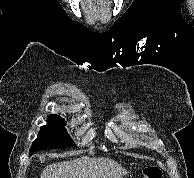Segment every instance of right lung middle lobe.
Segmentation results:
<instances>
[{"mask_svg": "<svg viewBox=\"0 0 194 178\" xmlns=\"http://www.w3.org/2000/svg\"><path fill=\"white\" fill-rule=\"evenodd\" d=\"M47 125L42 126L38 137L30 148L29 154L32 155L38 150L45 149H65L76 146L70 139L65 129V120L58 115H49Z\"/></svg>", "mask_w": 194, "mask_h": 178, "instance_id": "1", "label": "right lung middle lobe"}]
</instances>
